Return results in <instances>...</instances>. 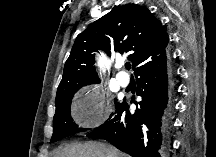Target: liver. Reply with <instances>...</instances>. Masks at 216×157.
<instances>
[{
  "mask_svg": "<svg viewBox=\"0 0 216 157\" xmlns=\"http://www.w3.org/2000/svg\"><path fill=\"white\" fill-rule=\"evenodd\" d=\"M54 157H125V154L104 143L87 142L67 145Z\"/></svg>",
  "mask_w": 216,
  "mask_h": 157,
  "instance_id": "6515ba94",
  "label": "liver"
}]
</instances>
